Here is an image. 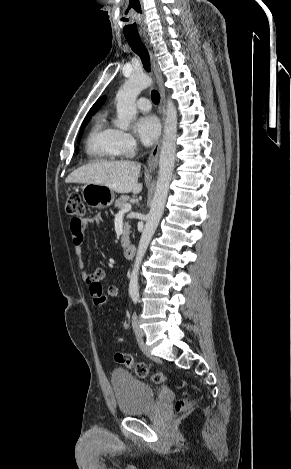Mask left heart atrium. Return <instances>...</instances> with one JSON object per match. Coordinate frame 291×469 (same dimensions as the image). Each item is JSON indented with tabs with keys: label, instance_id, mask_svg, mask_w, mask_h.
Wrapping results in <instances>:
<instances>
[{
	"label": "left heart atrium",
	"instance_id": "39dd6f15",
	"mask_svg": "<svg viewBox=\"0 0 291 469\" xmlns=\"http://www.w3.org/2000/svg\"><path fill=\"white\" fill-rule=\"evenodd\" d=\"M135 131L145 145L153 144L160 133V124L153 115H144L137 119Z\"/></svg>",
	"mask_w": 291,
	"mask_h": 469
}]
</instances>
